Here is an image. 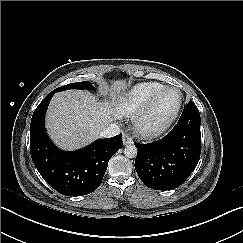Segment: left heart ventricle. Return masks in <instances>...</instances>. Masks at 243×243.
<instances>
[{"mask_svg":"<svg viewBox=\"0 0 243 243\" xmlns=\"http://www.w3.org/2000/svg\"><path fill=\"white\" fill-rule=\"evenodd\" d=\"M179 102V93L175 90L164 93L150 115L151 122L161 121L169 117L176 109Z\"/></svg>","mask_w":243,"mask_h":243,"instance_id":"obj_1","label":"left heart ventricle"}]
</instances>
